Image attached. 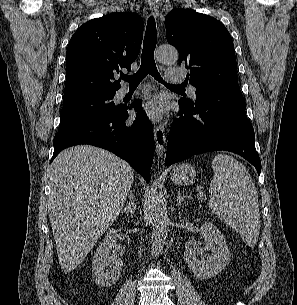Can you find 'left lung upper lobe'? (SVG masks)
<instances>
[{
    "label": "left lung upper lobe",
    "mask_w": 297,
    "mask_h": 305,
    "mask_svg": "<svg viewBox=\"0 0 297 305\" xmlns=\"http://www.w3.org/2000/svg\"><path fill=\"white\" fill-rule=\"evenodd\" d=\"M165 27L167 41L179 51V65L190 69L186 79L196 87V97L238 83L233 41L220 21L177 8L166 16Z\"/></svg>",
    "instance_id": "left-lung-upper-lobe-1"
}]
</instances>
